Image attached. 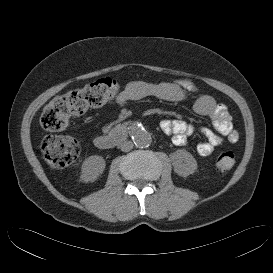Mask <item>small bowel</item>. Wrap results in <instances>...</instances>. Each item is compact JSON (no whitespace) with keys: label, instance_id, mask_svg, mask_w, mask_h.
I'll use <instances>...</instances> for the list:
<instances>
[{"label":"small bowel","instance_id":"obj_1","mask_svg":"<svg viewBox=\"0 0 273 273\" xmlns=\"http://www.w3.org/2000/svg\"><path fill=\"white\" fill-rule=\"evenodd\" d=\"M195 92H197L196 85L188 79H176L161 83L133 80L119 94L116 102L121 105L130 100H140L146 97H156L178 103L190 102L197 114L211 120L215 131L207 127L197 128L183 120H163L160 127L163 132L173 136L172 141L176 146H185L188 137L196 132L205 137V140L197 145V151L202 156L211 155L225 142L236 143L238 134L232 127L226 106L217 103L213 97L205 94L192 98L191 94Z\"/></svg>","mask_w":273,"mask_h":273}]
</instances>
